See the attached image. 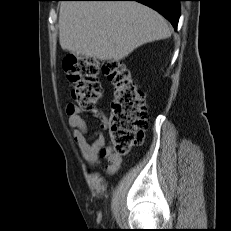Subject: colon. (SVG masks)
Segmentation results:
<instances>
[{"mask_svg":"<svg viewBox=\"0 0 231 231\" xmlns=\"http://www.w3.org/2000/svg\"><path fill=\"white\" fill-rule=\"evenodd\" d=\"M63 68L74 83L72 97L77 105L93 109L101 98L98 75L102 71L111 81L114 93L109 118V135L115 152L123 155L140 144L148 127L147 104L130 70L121 62L99 66L95 61L76 55L63 59Z\"/></svg>","mask_w":231,"mask_h":231,"instance_id":"colon-1","label":"colon"}]
</instances>
